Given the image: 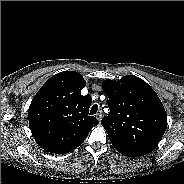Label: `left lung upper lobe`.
<instances>
[{"label":"left lung upper lobe","mask_w":184,"mask_h":184,"mask_svg":"<svg viewBox=\"0 0 184 184\" xmlns=\"http://www.w3.org/2000/svg\"><path fill=\"white\" fill-rule=\"evenodd\" d=\"M110 112L101 124L112 144L123 145L143 154L155 149L166 127L167 114L156 92L142 79L126 75L102 85Z\"/></svg>","instance_id":"left-lung-upper-lobe-1"}]
</instances>
